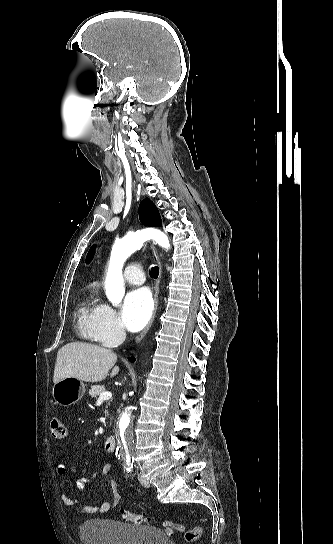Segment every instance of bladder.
<instances>
[{
  "instance_id": "31cf9c89",
  "label": "bladder",
  "mask_w": 333,
  "mask_h": 544,
  "mask_svg": "<svg viewBox=\"0 0 333 544\" xmlns=\"http://www.w3.org/2000/svg\"><path fill=\"white\" fill-rule=\"evenodd\" d=\"M79 536L83 544H169L162 530L151 526H134L109 519H88Z\"/></svg>"
}]
</instances>
